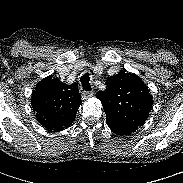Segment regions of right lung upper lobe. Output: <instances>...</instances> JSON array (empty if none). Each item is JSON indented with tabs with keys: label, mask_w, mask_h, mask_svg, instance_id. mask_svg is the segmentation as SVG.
<instances>
[{
	"label": "right lung upper lobe",
	"mask_w": 183,
	"mask_h": 183,
	"mask_svg": "<svg viewBox=\"0 0 183 183\" xmlns=\"http://www.w3.org/2000/svg\"><path fill=\"white\" fill-rule=\"evenodd\" d=\"M37 120L50 131H62L75 120L81 98L77 84L67 85L48 76L35 87L31 97Z\"/></svg>",
	"instance_id": "obj_1"
}]
</instances>
